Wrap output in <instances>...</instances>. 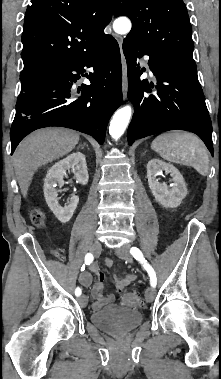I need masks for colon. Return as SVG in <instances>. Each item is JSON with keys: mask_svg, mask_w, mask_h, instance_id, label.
Returning <instances> with one entry per match:
<instances>
[{"mask_svg": "<svg viewBox=\"0 0 221 379\" xmlns=\"http://www.w3.org/2000/svg\"><path fill=\"white\" fill-rule=\"evenodd\" d=\"M31 220L34 225L42 226L45 222V216L39 208H36L31 213ZM121 304L126 306H138L141 304V299L135 293H125L121 298Z\"/></svg>", "mask_w": 221, "mask_h": 379, "instance_id": "colon-1", "label": "colon"}]
</instances>
